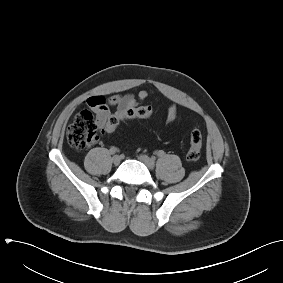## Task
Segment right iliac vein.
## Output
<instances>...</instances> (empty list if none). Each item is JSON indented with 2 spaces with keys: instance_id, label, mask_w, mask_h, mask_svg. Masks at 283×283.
<instances>
[{
  "instance_id": "1",
  "label": "right iliac vein",
  "mask_w": 283,
  "mask_h": 283,
  "mask_svg": "<svg viewBox=\"0 0 283 283\" xmlns=\"http://www.w3.org/2000/svg\"><path fill=\"white\" fill-rule=\"evenodd\" d=\"M121 162V157L119 155H115L112 157V163L115 165V166H118Z\"/></svg>"
}]
</instances>
